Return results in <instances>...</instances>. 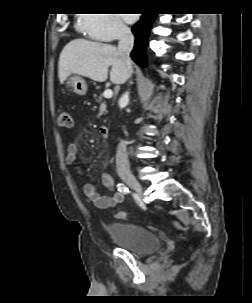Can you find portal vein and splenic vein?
<instances>
[{"label": "portal vein and splenic vein", "instance_id": "18ae733b", "mask_svg": "<svg viewBox=\"0 0 252 303\" xmlns=\"http://www.w3.org/2000/svg\"><path fill=\"white\" fill-rule=\"evenodd\" d=\"M103 96L107 99L112 98L113 96V91L111 89H106L103 93Z\"/></svg>", "mask_w": 252, "mask_h": 303}]
</instances>
